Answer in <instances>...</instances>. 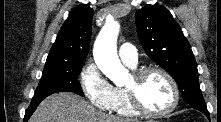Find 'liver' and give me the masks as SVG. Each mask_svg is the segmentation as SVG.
Masks as SVG:
<instances>
[{"mask_svg":"<svg viewBox=\"0 0 221 122\" xmlns=\"http://www.w3.org/2000/svg\"><path fill=\"white\" fill-rule=\"evenodd\" d=\"M29 122H139L119 118L93 108L84 98L69 92L53 94L38 106Z\"/></svg>","mask_w":221,"mask_h":122,"instance_id":"6515ba94","label":"liver"}]
</instances>
